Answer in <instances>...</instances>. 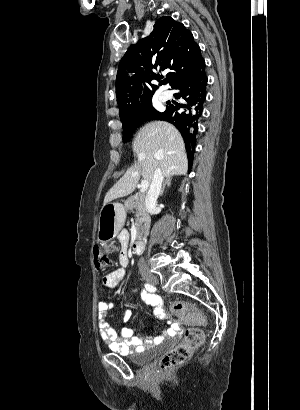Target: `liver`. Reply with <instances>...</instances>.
Listing matches in <instances>:
<instances>
[{"label": "liver", "mask_w": 300, "mask_h": 410, "mask_svg": "<svg viewBox=\"0 0 300 410\" xmlns=\"http://www.w3.org/2000/svg\"><path fill=\"white\" fill-rule=\"evenodd\" d=\"M132 148L137 154L138 162L107 192L104 205L131 194L140 176L151 182L157 168L165 177L187 173L188 160L183 138L167 122L154 121L146 124L135 136Z\"/></svg>", "instance_id": "1"}]
</instances>
